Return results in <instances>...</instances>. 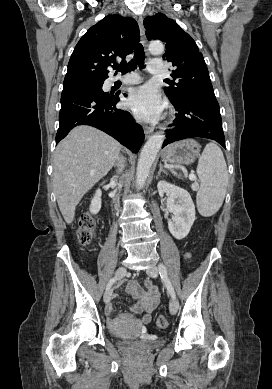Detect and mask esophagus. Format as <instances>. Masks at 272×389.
I'll return each mask as SVG.
<instances>
[{
	"label": "esophagus",
	"mask_w": 272,
	"mask_h": 389,
	"mask_svg": "<svg viewBox=\"0 0 272 389\" xmlns=\"http://www.w3.org/2000/svg\"><path fill=\"white\" fill-rule=\"evenodd\" d=\"M138 24H139V29H140L141 42H142L143 46L145 47V49L147 51L148 43H147V39H146V35H145V28H144V25H143V18H142V16L139 17ZM153 131H154L153 128H150V127H145L144 128V133H145L146 137H149L153 133Z\"/></svg>",
	"instance_id": "1"
}]
</instances>
